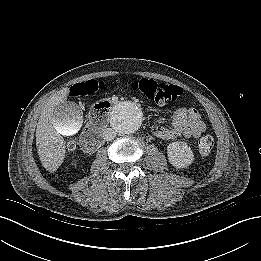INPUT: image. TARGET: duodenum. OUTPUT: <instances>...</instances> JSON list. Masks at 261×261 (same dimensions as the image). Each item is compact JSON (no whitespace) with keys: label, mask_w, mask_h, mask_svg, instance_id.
<instances>
[{"label":"duodenum","mask_w":261,"mask_h":261,"mask_svg":"<svg viewBox=\"0 0 261 261\" xmlns=\"http://www.w3.org/2000/svg\"><path fill=\"white\" fill-rule=\"evenodd\" d=\"M105 127V126H103ZM102 135L100 131L96 129L86 130L80 140V147L83 152L91 154L93 153L102 143Z\"/></svg>","instance_id":"obj_1"}]
</instances>
